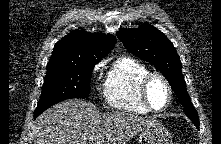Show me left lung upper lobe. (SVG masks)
<instances>
[{"mask_svg":"<svg viewBox=\"0 0 221 144\" xmlns=\"http://www.w3.org/2000/svg\"><path fill=\"white\" fill-rule=\"evenodd\" d=\"M117 36L128 51L161 71L184 106L185 114L198 125L197 112L187 94L180 58L172 42L149 24H143L135 30H121Z\"/></svg>","mask_w":221,"mask_h":144,"instance_id":"obj_1","label":"left lung upper lobe"}]
</instances>
